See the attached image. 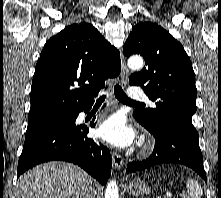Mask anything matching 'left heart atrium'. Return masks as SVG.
<instances>
[{
  "mask_svg": "<svg viewBox=\"0 0 221 198\" xmlns=\"http://www.w3.org/2000/svg\"><path fill=\"white\" fill-rule=\"evenodd\" d=\"M98 136L112 146L124 148L131 145L135 133L125 119L120 115H114L105 120L97 130Z\"/></svg>",
  "mask_w": 221,
  "mask_h": 198,
  "instance_id": "1",
  "label": "left heart atrium"
}]
</instances>
